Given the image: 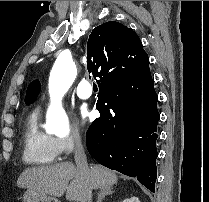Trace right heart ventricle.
I'll return each mask as SVG.
<instances>
[{
  "mask_svg": "<svg viewBox=\"0 0 209 202\" xmlns=\"http://www.w3.org/2000/svg\"><path fill=\"white\" fill-rule=\"evenodd\" d=\"M60 152L55 138L39 126V117L34 114L23 132V160L32 165H48L56 162Z\"/></svg>",
  "mask_w": 209,
  "mask_h": 202,
  "instance_id": "right-heart-ventricle-1",
  "label": "right heart ventricle"
}]
</instances>
